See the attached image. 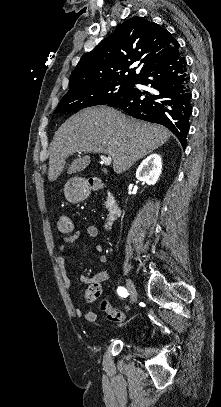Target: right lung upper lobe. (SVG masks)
Returning a JSON list of instances; mask_svg holds the SVG:
<instances>
[{
  "label": "right lung upper lobe",
  "instance_id": "cb5924a9",
  "mask_svg": "<svg viewBox=\"0 0 221 407\" xmlns=\"http://www.w3.org/2000/svg\"><path fill=\"white\" fill-rule=\"evenodd\" d=\"M178 45L160 25L132 17L81 57L71 73L68 92L106 82H135Z\"/></svg>",
  "mask_w": 221,
  "mask_h": 407
}]
</instances>
